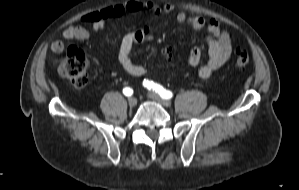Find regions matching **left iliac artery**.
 Segmentation results:
<instances>
[{"instance_id":"left-iliac-artery-1","label":"left iliac artery","mask_w":299,"mask_h":190,"mask_svg":"<svg viewBox=\"0 0 299 190\" xmlns=\"http://www.w3.org/2000/svg\"><path fill=\"white\" fill-rule=\"evenodd\" d=\"M143 85L147 87L149 90H153L158 93L163 99H170L172 98L173 94L171 91L164 89L161 85L154 83L149 80H144Z\"/></svg>"}]
</instances>
